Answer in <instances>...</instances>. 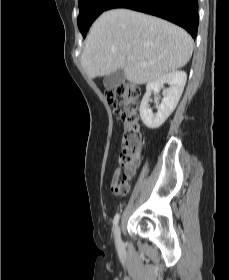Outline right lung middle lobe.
<instances>
[{
    "label": "right lung middle lobe",
    "mask_w": 229,
    "mask_h": 280,
    "mask_svg": "<svg viewBox=\"0 0 229 280\" xmlns=\"http://www.w3.org/2000/svg\"><path fill=\"white\" fill-rule=\"evenodd\" d=\"M114 0H78L79 16L77 23L83 37L86 36L88 29L93 21L105 10Z\"/></svg>",
    "instance_id": "dd1d6c3e"
}]
</instances>
